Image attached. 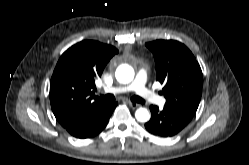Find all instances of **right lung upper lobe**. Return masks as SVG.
<instances>
[{
  "label": "right lung upper lobe",
  "mask_w": 249,
  "mask_h": 165,
  "mask_svg": "<svg viewBox=\"0 0 249 165\" xmlns=\"http://www.w3.org/2000/svg\"><path fill=\"white\" fill-rule=\"evenodd\" d=\"M117 53L111 45L85 40L62 54L50 81V103L64 128L106 103L94 95L95 81Z\"/></svg>",
  "instance_id": "obj_1"
}]
</instances>
